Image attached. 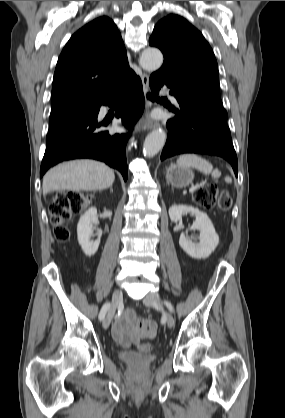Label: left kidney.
<instances>
[{
	"label": "left kidney",
	"mask_w": 285,
	"mask_h": 418,
	"mask_svg": "<svg viewBox=\"0 0 285 418\" xmlns=\"http://www.w3.org/2000/svg\"><path fill=\"white\" fill-rule=\"evenodd\" d=\"M187 213L196 218L190 230L197 229L200 231V241L199 243L192 242L187 237L188 230H186V233H181L180 235L179 245L192 258L205 259L216 249L219 243V236L208 215L198 208L187 205H172L169 208V217L175 223L182 220V216Z\"/></svg>",
	"instance_id": "1"
}]
</instances>
